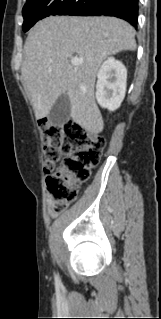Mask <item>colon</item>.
Instances as JSON below:
<instances>
[{
    "instance_id": "obj_1",
    "label": "colon",
    "mask_w": 161,
    "mask_h": 319,
    "mask_svg": "<svg viewBox=\"0 0 161 319\" xmlns=\"http://www.w3.org/2000/svg\"><path fill=\"white\" fill-rule=\"evenodd\" d=\"M41 137L53 211L61 213L75 201L79 186L88 180L90 169L98 163L105 147V140L74 122L43 123ZM62 154L65 155L63 164L55 169L54 163Z\"/></svg>"
}]
</instances>
